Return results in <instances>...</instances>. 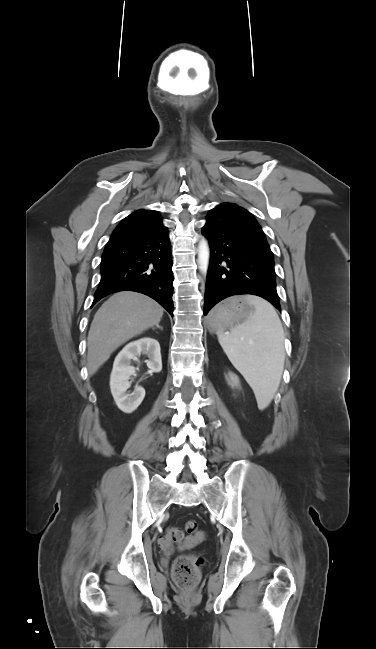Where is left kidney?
<instances>
[{
	"label": "left kidney",
	"mask_w": 376,
	"mask_h": 649,
	"mask_svg": "<svg viewBox=\"0 0 376 649\" xmlns=\"http://www.w3.org/2000/svg\"><path fill=\"white\" fill-rule=\"evenodd\" d=\"M229 384L231 386H238L239 385V378L237 375L230 373L229 374Z\"/></svg>",
	"instance_id": "5707ae66"
}]
</instances>
